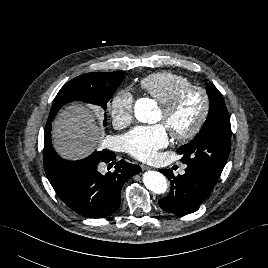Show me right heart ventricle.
I'll return each mask as SVG.
<instances>
[{
  "instance_id": "obj_1",
  "label": "right heart ventricle",
  "mask_w": 268,
  "mask_h": 268,
  "mask_svg": "<svg viewBox=\"0 0 268 268\" xmlns=\"http://www.w3.org/2000/svg\"><path fill=\"white\" fill-rule=\"evenodd\" d=\"M189 84L187 78L170 71L155 72L140 81V87L160 105L168 102L180 88Z\"/></svg>"
}]
</instances>
